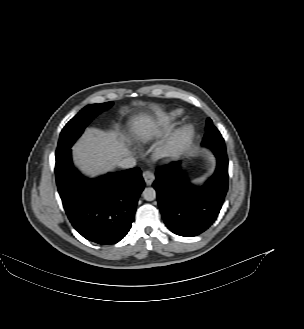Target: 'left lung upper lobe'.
I'll list each match as a JSON object with an SVG mask.
<instances>
[{"mask_svg": "<svg viewBox=\"0 0 304 329\" xmlns=\"http://www.w3.org/2000/svg\"><path fill=\"white\" fill-rule=\"evenodd\" d=\"M213 126L214 125L212 124V120L210 118H208L207 123H206V133L210 132Z\"/></svg>", "mask_w": 304, "mask_h": 329, "instance_id": "1", "label": "left lung upper lobe"}]
</instances>
